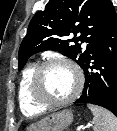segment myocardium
<instances>
[{
  "label": "myocardium",
  "mask_w": 117,
  "mask_h": 131,
  "mask_svg": "<svg viewBox=\"0 0 117 131\" xmlns=\"http://www.w3.org/2000/svg\"><path fill=\"white\" fill-rule=\"evenodd\" d=\"M56 65H63L69 67L70 69L73 70L77 79L76 87L73 93L69 97L59 101L49 100L45 98L40 92V81L43 73L45 72L46 69ZM83 85H84V77L82 71L75 63L67 59L54 58L43 61L42 63L36 66L31 77L29 92L32 100L37 105L45 108H57L72 103L80 95L83 89Z\"/></svg>",
  "instance_id": "f54148a6"
}]
</instances>
